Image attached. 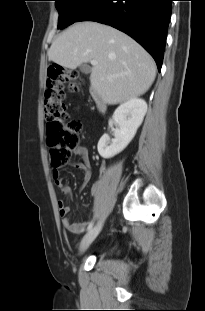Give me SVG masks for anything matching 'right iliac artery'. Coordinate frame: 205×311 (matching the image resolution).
Listing matches in <instances>:
<instances>
[{"mask_svg":"<svg viewBox=\"0 0 205 311\" xmlns=\"http://www.w3.org/2000/svg\"><path fill=\"white\" fill-rule=\"evenodd\" d=\"M93 224H94V222L91 221L90 224H89V226H88V228H87L88 232L91 231V229H92V227H93Z\"/></svg>","mask_w":205,"mask_h":311,"instance_id":"obj_1","label":"right iliac artery"}]
</instances>
